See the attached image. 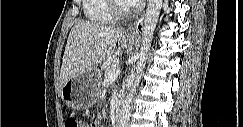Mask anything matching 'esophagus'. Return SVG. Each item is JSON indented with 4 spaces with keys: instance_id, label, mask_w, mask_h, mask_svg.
Instances as JSON below:
<instances>
[{
    "instance_id": "esophagus-1",
    "label": "esophagus",
    "mask_w": 243,
    "mask_h": 127,
    "mask_svg": "<svg viewBox=\"0 0 243 127\" xmlns=\"http://www.w3.org/2000/svg\"><path fill=\"white\" fill-rule=\"evenodd\" d=\"M143 16L139 18L136 22H134L130 28L128 29V34L130 35H136L139 33L138 25L142 22Z\"/></svg>"
}]
</instances>
